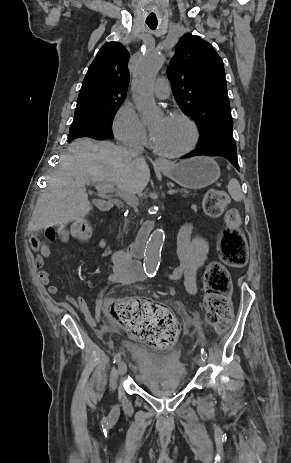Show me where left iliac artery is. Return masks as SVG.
Masks as SVG:
<instances>
[{
    "instance_id": "obj_1",
    "label": "left iliac artery",
    "mask_w": 291,
    "mask_h": 463,
    "mask_svg": "<svg viewBox=\"0 0 291 463\" xmlns=\"http://www.w3.org/2000/svg\"><path fill=\"white\" fill-rule=\"evenodd\" d=\"M201 356H202L204 361L207 359V353H206V351L204 349H201Z\"/></svg>"
}]
</instances>
